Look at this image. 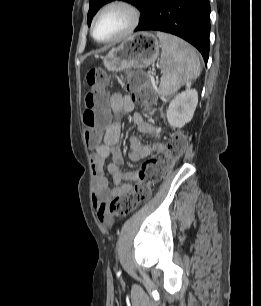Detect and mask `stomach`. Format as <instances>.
I'll use <instances>...</instances> for the list:
<instances>
[{"instance_id": "1", "label": "stomach", "mask_w": 261, "mask_h": 306, "mask_svg": "<svg viewBox=\"0 0 261 306\" xmlns=\"http://www.w3.org/2000/svg\"><path fill=\"white\" fill-rule=\"evenodd\" d=\"M159 48L160 44L153 33H135L112 48L103 58V64L112 72L129 68L143 69L156 61Z\"/></svg>"}]
</instances>
